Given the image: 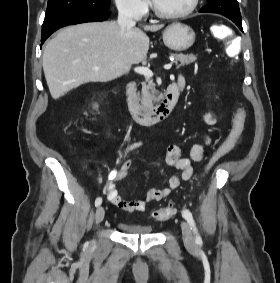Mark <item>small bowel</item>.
Segmentation results:
<instances>
[{
    "instance_id": "c3829d8e",
    "label": "small bowel",
    "mask_w": 280,
    "mask_h": 283,
    "mask_svg": "<svg viewBox=\"0 0 280 283\" xmlns=\"http://www.w3.org/2000/svg\"><path fill=\"white\" fill-rule=\"evenodd\" d=\"M179 84H183L182 78L179 79ZM204 121L207 124H214L216 122L215 118L210 114H206L204 116ZM235 127L236 124L235 122H233L230 134L221 144V146L233 139ZM242 131L243 127L240 134L234 139L227 152H229L236 145V143L240 139ZM210 143L211 138L209 136H206L203 143L195 144L192 146L189 156H184L179 146L169 145L166 149L165 160L168 165L178 169L180 173L178 175H172L169 178L168 187L162 189H150L147 192L144 200H125L120 196L117 190V183L127 176L132 166V162L130 160H125L119 168L114 169L110 172L105 183L104 190L108 201L115 205L117 208L127 212L133 213L145 211L148 203L162 200L163 198L168 196L172 190L178 188L181 181H189L192 178L194 171L193 163L201 162L202 160H204L206 147L209 146Z\"/></svg>"
}]
</instances>
